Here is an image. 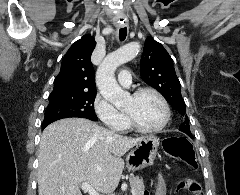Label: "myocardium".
<instances>
[{"label":"myocardium","mask_w":240,"mask_h":195,"mask_svg":"<svg viewBox=\"0 0 240 195\" xmlns=\"http://www.w3.org/2000/svg\"><path fill=\"white\" fill-rule=\"evenodd\" d=\"M145 93H151L159 99V101L162 105V109H163V117H162L161 122L157 126H154V127H143L136 122V120L134 119L133 115L130 112L123 111L124 118H125V124L127 127L132 128L133 130H135L138 133H142V134L157 133V132L161 131L162 129H164L165 126L167 125L169 118H170V108H169L168 102H167L166 98L164 97V95L161 92H159L158 90L151 88V87L140 88V89L136 90L131 95V97L133 99H135Z\"/></svg>","instance_id":"1"}]
</instances>
